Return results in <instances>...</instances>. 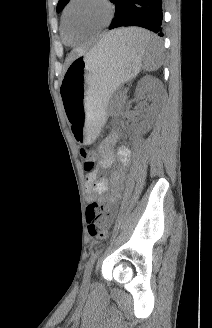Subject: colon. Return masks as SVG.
<instances>
[{
    "mask_svg": "<svg viewBox=\"0 0 212 328\" xmlns=\"http://www.w3.org/2000/svg\"><path fill=\"white\" fill-rule=\"evenodd\" d=\"M84 159V168L87 172L91 171L95 164V152L90 146H84L80 150ZM103 214V209L97 203H91L86 209V219L88 223V231L92 238L103 239L105 230L99 223V218Z\"/></svg>",
    "mask_w": 212,
    "mask_h": 328,
    "instance_id": "1",
    "label": "colon"
}]
</instances>
